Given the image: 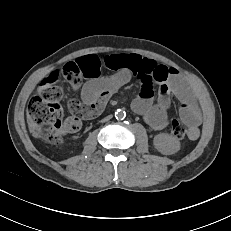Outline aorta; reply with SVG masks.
I'll use <instances>...</instances> for the list:
<instances>
[{
	"label": "aorta",
	"mask_w": 231,
	"mask_h": 231,
	"mask_svg": "<svg viewBox=\"0 0 231 231\" xmlns=\"http://www.w3.org/2000/svg\"><path fill=\"white\" fill-rule=\"evenodd\" d=\"M125 116H126L125 111H123V110H121V109H118V110L115 112V117H116V119H123Z\"/></svg>",
	"instance_id": "obj_1"
}]
</instances>
